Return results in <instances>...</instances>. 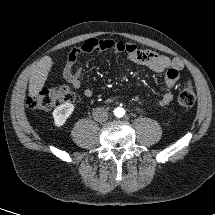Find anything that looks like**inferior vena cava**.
Instances as JSON below:
<instances>
[{
	"instance_id": "obj_1",
	"label": "inferior vena cava",
	"mask_w": 215,
	"mask_h": 215,
	"mask_svg": "<svg viewBox=\"0 0 215 215\" xmlns=\"http://www.w3.org/2000/svg\"><path fill=\"white\" fill-rule=\"evenodd\" d=\"M93 118L97 122H105L108 119V113L106 109L102 107H97L93 110Z\"/></svg>"
}]
</instances>
